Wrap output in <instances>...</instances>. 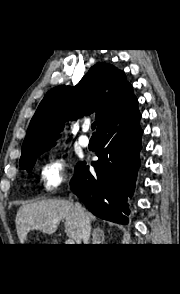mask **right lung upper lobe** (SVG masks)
Returning a JSON list of instances; mask_svg holds the SVG:
<instances>
[{
  "instance_id": "obj_1",
  "label": "right lung upper lobe",
  "mask_w": 180,
  "mask_h": 294,
  "mask_svg": "<svg viewBox=\"0 0 180 294\" xmlns=\"http://www.w3.org/2000/svg\"><path fill=\"white\" fill-rule=\"evenodd\" d=\"M134 98L124 72L113 65L97 63L75 87L57 86L45 95L28 127L20 162L51 148L67 119L95 111L99 130Z\"/></svg>"
}]
</instances>
